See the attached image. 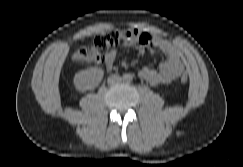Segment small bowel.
Returning <instances> with one entry per match:
<instances>
[{"instance_id":"c3829d8e","label":"small bowel","mask_w":243,"mask_h":167,"mask_svg":"<svg viewBox=\"0 0 243 167\" xmlns=\"http://www.w3.org/2000/svg\"><path fill=\"white\" fill-rule=\"evenodd\" d=\"M128 39L123 43L126 48L157 49L166 55L158 69L144 67L139 75L151 85L170 84L184 71V64L179 50L168 40L139 29H129ZM116 59V51L110 49L105 53V67L111 70Z\"/></svg>"}]
</instances>
